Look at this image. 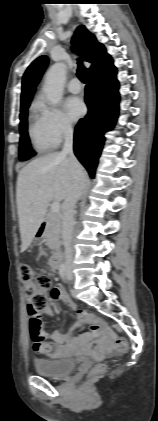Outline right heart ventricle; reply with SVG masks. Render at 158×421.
<instances>
[{
    "instance_id": "e07e8e85",
    "label": "right heart ventricle",
    "mask_w": 158,
    "mask_h": 421,
    "mask_svg": "<svg viewBox=\"0 0 158 421\" xmlns=\"http://www.w3.org/2000/svg\"><path fill=\"white\" fill-rule=\"evenodd\" d=\"M28 135L34 149L39 152L50 151L56 145L48 136L44 117L38 106L33 108V111L30 115Z\"/></svg>"
}]
</instances>
